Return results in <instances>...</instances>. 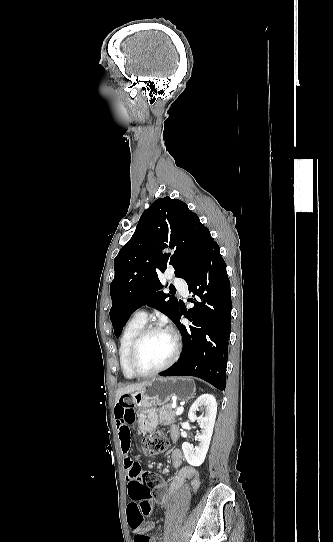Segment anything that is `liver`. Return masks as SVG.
Listing matches in <instances>:
<instances>
[{
  "label": "liver",
  "mask_w": 333,
  "mask_h": 542,
  "mask_svg": "<svg viewBox=\"0 0 333 542\" xmlns=\"http://www.w3.org/2000/svg\"><path fill=\"white\" fill-rule=\"evenodd\" d=\"M148 384L149 382H141V384H129V386H125V388H118L116 392V404L119 398L124 396V394H132V392H137V390H143Z\"/></svg>",
  "instance_id": "6515ba94"
}]
</instances>
